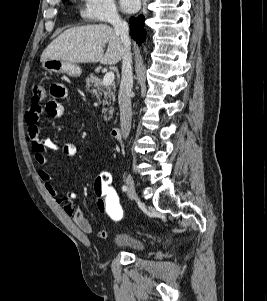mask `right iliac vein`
I'll list each match as a JSON object with an SVG mask.
<instances>
[{
	"mask_svg": "<svg viewBox=\"0 0 267 301\" xmlns=\"http://www.w3.org/2000/svg\"><path fill=\"white\" fill-rule=\"evenodd\" d=\"M126 185H127V195L130 199H138V196L135 191V184L132 176L130 174L126 177Z\"/></svg>",
	"mask_w": 267,
	"mask_h": 301,
	"instance_id": "1",
	"label": "right iliac vein"
}]
</instances>
